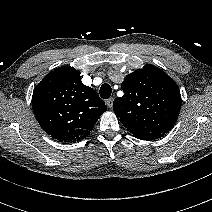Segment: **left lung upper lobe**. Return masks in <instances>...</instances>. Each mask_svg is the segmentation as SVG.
<instances>
[{
  "instance_id": "left-lung-upper-lobe-1",
  "label": "left lung upper lobe",
  "mask_w": 212,
  "mask_h": 212,
  "mask_svg": "<svg viewBox=\"0 0 212 212\" xmlns=\"http://www.w3.org/2000/svg\"><path fill=\"white\" fill-rule=\"evenodd\" d=\"M124 95L113 102V110L134 137L146 133H168L181 108L177 84L163 70L146 65L125 77Z\"/></svg>"
}]
</instances>
